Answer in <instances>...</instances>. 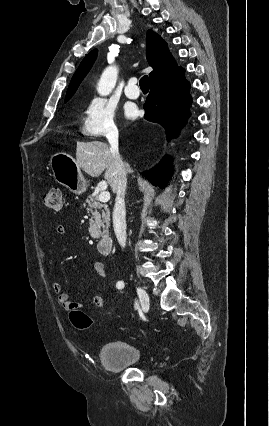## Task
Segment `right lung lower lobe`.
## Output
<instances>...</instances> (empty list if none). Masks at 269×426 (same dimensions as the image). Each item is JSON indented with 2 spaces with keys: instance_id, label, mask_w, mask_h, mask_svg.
Segmentation results:
<instances>
[{
  "instance_id": "obj_1",
  "label": "right lung lower lobe",
  "mask_w": 269,
  "mask_h": 426,
  "mask_svg": "<svg viewBox=\"0 0 269 426\" xmlns=\"http://www.w3.org/2000/svg\"><path fill=\"white\" fill-rule=\"evenodd\" d=\"M183 74L184 70L177 67L150 83V93L144 104V118L161 124L168 139L177 136L185 125L187 109L192 102L188 93L190 84ZM170 165L171 159L164 157L155 168L143 174L154 185L164 187L170 173Z\"/></svg>"
}]
</instances>
